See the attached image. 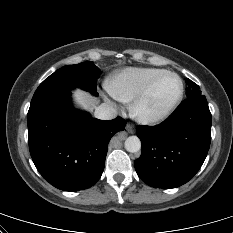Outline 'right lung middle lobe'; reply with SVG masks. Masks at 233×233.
Listing matches in <instances>:
<instances>
[{
    "label": "right lung middle lobe",
    "instance_id": "dd1d6c3e",
    "mask_svg": "<svg viewBox=\"0 0 233 233\" xmlns=\"http://www.w3.org/2000/svg\"><path fill=\"white\" fill-rule=\"evenodd\" d=\"M99 74L100 70L94 65V62L64 66L56 70L39 85L31 102L54 93L69 91L74 87H80L96 95Z\"/></svg>",
    "mask_w": 233,
    "mask_h": 233
}]
</instances>
